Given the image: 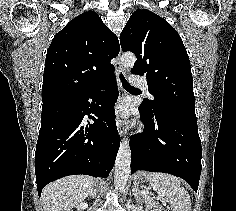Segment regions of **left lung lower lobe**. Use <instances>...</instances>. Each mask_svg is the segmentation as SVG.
<instances>
[{"label":"left lung lower lobe","mask_w":236,"mask_h":211,"mask_svg":"<svg viewBox=\"0 0 236 211\" xmlns=\"http://www.w3.org/2000/svg\"><path fill=\"white\" fill-rule=\"evenodd\" d=\"M139 111L147 128L130 138L131 174L165 172L183 178L197 192L201 175V141L197 119Z\"/></svg>","instance_id":"left-lung-lower-lobe-1"}]
</instances>
